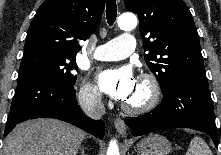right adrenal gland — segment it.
Wrapping results in <instances>:
<instances>
[{"mask_svg": "<svg viewBox=\"0 0 221 155\" xmlns=\"http://www.w3.org/2000/svg\"><path fill=\"white\" fill-rule=\"evenodd\" d=\"M79 149L81 151L80 155H86L84 147H80Z\"/></svg>", "mask_w": 221, "mask_h": 155, "instance_id": "right-adrenal-gland-1", "label": "right adrenal gland"}]
</instances>
